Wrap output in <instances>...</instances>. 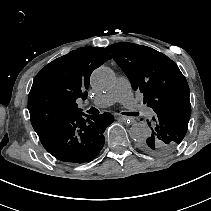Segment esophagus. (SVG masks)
<instances>
[{"label": "esophagus", "instance_id": "esophagus-1", "mask_svg": "<svg viewBox=\"0 0 211 211\" xmlns=\"http://www.w3.org/2000/svg\"><path fill=\"white\" fill-rule=\"evenodd\" d=\"M117 120L122 121V122H126V123H128V124L134 122V119H133V118H129V117H127V116H119V117L117 118Z\"/></svg>", "mask_w": 211, "mask_h": 211}]
</instances>
